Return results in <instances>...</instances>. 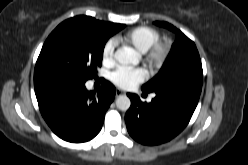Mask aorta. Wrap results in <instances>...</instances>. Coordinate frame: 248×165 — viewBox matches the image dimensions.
<instances>
[{
    "instance_id": "1",
    "label": "aorta",
    "mask_w": 248,
    "mask_h": 165,
    "mask_svg": "<svg viewBox=\"0 0 248 165\" xmlns=\"http://www.w3.org/2000/svg\"><path fill=\"white\" fill-rule=\"evenodd\" d=\"M115 59L123 65L133 64L137 65L139 63L138 55L133 51H128L124 49H118L115 52ZM131 101L126 95H120L116 99V106L122 111H127L130 108Z\"/></svg>"
}]
</instances>
